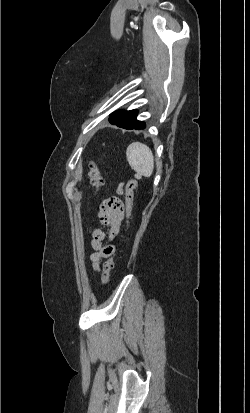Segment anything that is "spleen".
<instances>
[{"label": "spleen", "mask_w": 250, "mask_h": 413, "mask_svg": "<svg viewBox=\"0 0 250 413\" xmlns=\"http://www.w3.org/2000/svg\"><path fill=\"white\" fill-rule=\"evenodd\" d=\"M126 157L131 168L138 174L150 177L154 170V157L151 149L141 143L133 142L126 149Z\"/></svg>", "instance_id": "3e777b00"}]
</instances>
